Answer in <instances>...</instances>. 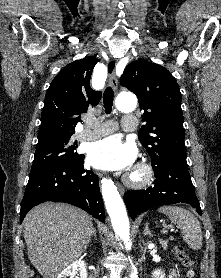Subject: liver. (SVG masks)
<instances>
[{
    "mask_svg": "<svg viewBox=\"0 0 221 278\" xmlns=\"http://www.w3.org/2000/svg\"><path fill=\"white\" fill-rule=\"evenodd\" d=\"M92 218L64 203H42L24 219L28 258L43 278H56L87 249Z\"/></svg>",
    "mask_w": 221,
    "mask_h": 278,
    "instance_id": "6515ba94",
    "label": "liver"
}]
</instances>
